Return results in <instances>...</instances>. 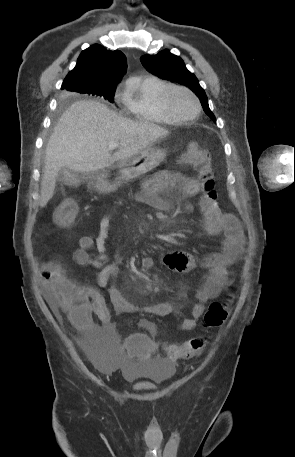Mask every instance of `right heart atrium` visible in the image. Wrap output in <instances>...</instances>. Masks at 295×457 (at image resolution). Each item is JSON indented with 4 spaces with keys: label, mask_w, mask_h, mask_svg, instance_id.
<instances>
[{
    "label": "right heart atrium",
    "mask_w": 295,
    "mask_h": 457,
    "mask_svg": "<svg viewBox=\"0 0 295 457\" xmlns=\"http://www.w3.org/2000/svg\"><path fill=\"white\" fill-rule=\"evenodd\" d=\"M117 96H120V94H119V93H117Z\"/></svg>",
    "instance_id": "obj_1"
}]
</instances>
